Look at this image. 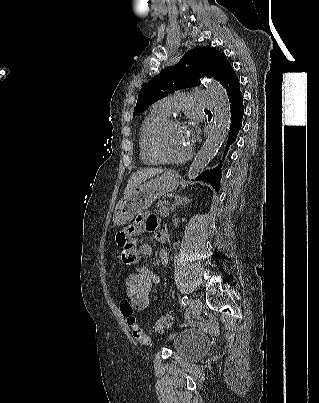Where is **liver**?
<instances>
[{
	"mask_svg": "<svg viewBox=\"0 0 319 403\" xmlns=\"http://www.w3.org/2000/svg\"><path fill=\"white\" fill-rule=\"evenodd\" d=\"M164 170L161 168H147L143 170H139L132 174L129 178L127 187L124 191V198L139 184L146 181L147 179L162 173Z\"/></svg>",
	"mask_w": 319,
	"mask_h": 403,
	"instance_id": "obj_1",
	"label": "liver"
}]
</instances>
